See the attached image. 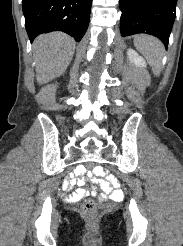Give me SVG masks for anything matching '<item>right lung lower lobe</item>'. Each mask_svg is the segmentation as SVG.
<instances>
[{
    "label": "right lung lower lobe",
    "instance_id": "98d812e1",
    "mask_svg": "<svg viewBox=\"0 0 183 246\" xmlns=\"http://www.w3.org/2000/svg\"><path fill=\"white\" fill-rule=\"evenodd\" d=\"M91 3L92 0H22L30 41L42 33L62 31L79 42L89 24Z\"/></svg>",
    "mask_w": 183,
    "mask_h": 246
}]
</instances>
